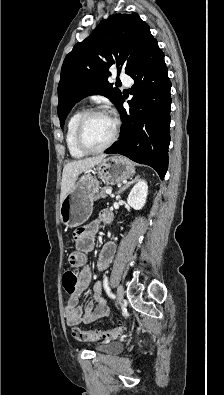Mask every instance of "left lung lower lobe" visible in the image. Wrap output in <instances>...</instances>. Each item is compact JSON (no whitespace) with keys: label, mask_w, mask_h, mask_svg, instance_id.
<instances>
[{"label":"left lung lower lobe","mask_w":224,"mask_h":395,"mask_svg":"<svg viewBox=\"0 0 224 395\" xmlns=\"http://www.w3.org/2000/svg\"><path fill=\"white\" fill-rule=\"evenodd\" d=\"M164 54L154 41L128 72L134 79L128 101L117 105L123 125L120 139L105 153H119L131 160L153 167L163 179L168 167L170 143L171 82Z\"/></svg>","instance_id":"1"}]
</instances>
